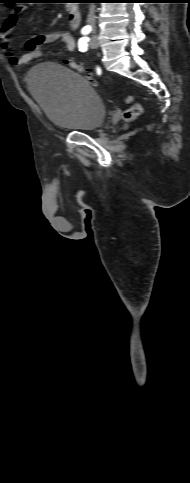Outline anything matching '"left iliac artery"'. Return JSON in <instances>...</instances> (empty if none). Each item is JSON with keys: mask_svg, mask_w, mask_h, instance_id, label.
I'll use <instances>...</instances> for the list:
<instances>
[{"mask_svg": "<svg viewBox=\"0 0 190 483\" xmlns=\"http://www.w3.org/2000/svg\"><path fill=\"white\" fill-rule=\"evenodd\" d=\"M88 42H89V38L88 37H82L79 39L78 41V48L81 52H84L87 50V47H88Z\"/></svg>", "mask_w": 190, "mask_h": 483, "instance_id": "left-iliac-artery-1", "label": "left iliac artery"}]
</instances>
